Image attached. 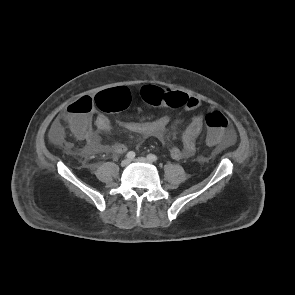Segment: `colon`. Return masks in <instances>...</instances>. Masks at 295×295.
<instances>
[{
    "instance_id": "1",
    "label": "colon",
    "mask_w": 295,
    "mask_h": 295,
    "mask_svg": "<svg viewBox=\"0 0 295 295\" xmlns=\"http://www.w3.org/2000/svg\"><path fill=\"white\" fill-rule=\"evenodd\" d=\"M142 98L149 104L155 106H166L170 108L183 107L188 96L182 92L170 91L153 85L143 87ZM132 92L124 86L104 90L95 97H83L67 108V120L71 128H77L80 121L88 116L96 107L103 112H116L125 109L132 101ZM208 128L207 144L216 145L230 139L232 132L227 118L219 111H210L205 116Z\"/></svg>"
}]
</instances>
